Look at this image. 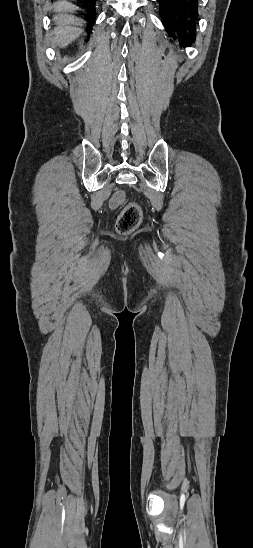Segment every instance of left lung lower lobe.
Segmentation results:
<instances>
[{
  "label": "left lung lower lobe",
  "mask_w": 253,
  "mask_h": 548,
  "mask_svg": "<svg viewBox=\"0 0 253 548\" xmlns=\"http://www.w3.org/2000/svg\"><path fill=\"white\" fill-rule=\"evenodd\" d=\"M160 5V14L163 24L171 32L183 28L184 19L198 17V0H157ZM180 40L185 41L186 37L179 34Z\"/></svg>",
  "instance_id": "1"
}]
</instances>
